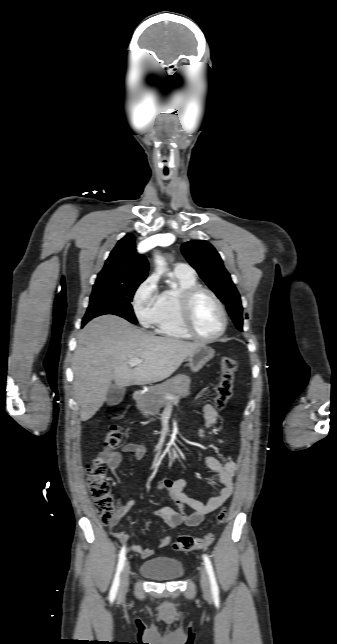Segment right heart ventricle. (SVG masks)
<instances>
[{
    "label": "right heart ventricle",
    "mask_w": 337,
    "mask_h": 644,
    "mask_svg": "<svg viewBox=\"0 0 337 644\" xmlns=\"http://www.w3.org/2000/svg\"><path fill=\"white\" fill-rule=\"evenodd\" d=\"M178 282L176 288L164 290L159 297V311L154 322L156 333L174 339L187 340L191 336L184 329L180 319V299L183 292L199 285L195 274L174 272Z\"/></svg>",
    "instance_id": "1"
}]
</instances>
